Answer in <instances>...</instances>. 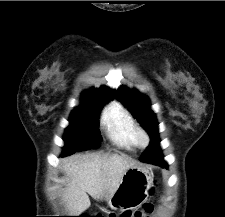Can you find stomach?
Wrapping results in <instances>:
<instances>
[{
	"instance_id": "0dacf381",
	"label": "stomach",
	"mask_w": 225,
	"mask_h": 217,
	"mask_svg": "<svg viewBox=\"0 0 225 217\" xmlns=\"http://www.w3.org/2000/svg\"><path fill=\"white\" fill-rule=\"evenodd\" d=\"M149 180L148 171L141 166L134 165L124 172L119 188L144 187L149 183Z\"/></svg>"
}]
</instances>
